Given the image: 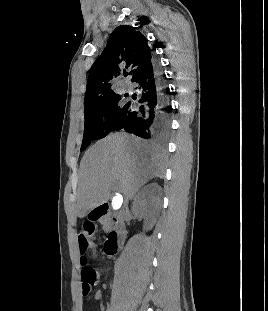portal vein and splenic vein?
Masks as SVG:
<instances>
[{
    "mask_svg": "<svg viewBox=\"0 0 268 311\" xmlns=\"http://www.w3.org/2000/svg\"><path fill=\"white\" fill-rule=\"evenodd\" d=\"M114 188H115V189H117V188H118L117 184H114ZM115 199H117V200H122V198H121V197H115Z\"/></svg>",
    "mask_w": 268,
    "mask_h": 311,
    "instance_id": "18ae733b",
    "label": "portal vein and splenic vein"
}]
</instances>
